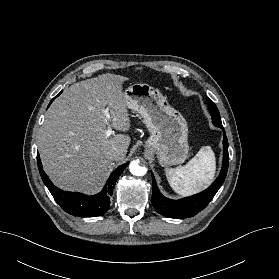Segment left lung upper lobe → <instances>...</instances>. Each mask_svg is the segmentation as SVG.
<instances>
[{
    "label": "left lung upper lobe",
    "instance_id": "obj_1",
    "mask_svg": "<svg viewBox=\"0 0 279 279\" xmlns=\"http://www.w3.org/2000/svg\"><path fill=\"white\" fill-rule=\"evenodd\" d=\"M209 111L211 113L212 122L215 126L222 127L219 111L212 100H209Z\"/></svg>",
    "mask_w": 279,
    "mask_h": 279
}]
</instances>
